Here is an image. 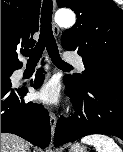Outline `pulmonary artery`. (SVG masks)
Wrapping results in <instances>:
<instances>
[{"label": "pulmonary artery", "mask_w": 123, "mask_h": 152, "mask_svg": "<svg viewBox=\"0 0 123 152\" xmlns=\"http://www.w3.org/2000/svg\"><path fill=\"white\" fill-rule=\"evenodd\" d=\"M64 60L66 62L75 64L79 71L82 72L84 70L83 62H82L81 58L78 57L77 55L67 54V55H65ZM23 72H24V69L19 71L20 74H22Z\"/></svg>", "instance_id": "obj_1"}]
</instances>
